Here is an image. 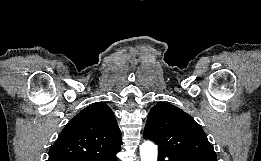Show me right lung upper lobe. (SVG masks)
<instances>
[{
  "label": "right lung upper lobe",
  "instance_id": "obj_1",
  "mask_svg": "<svg viewBox=\"0 0 261 161\" xmlns=\"http://www.w3.org/2000/svg\"><path fill=\"white\" fill-rule=\"evenodd\" d=\"M121 132L110 107L95 103L65 126L49 150L48 161H76L119 150Z\"/></svg>",
  "mask_w": 261,
  "mask_h": 161
}]
</instances>
